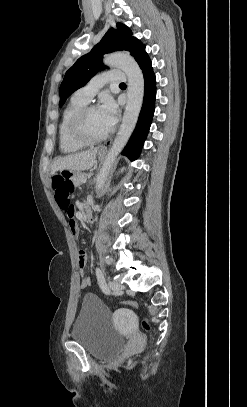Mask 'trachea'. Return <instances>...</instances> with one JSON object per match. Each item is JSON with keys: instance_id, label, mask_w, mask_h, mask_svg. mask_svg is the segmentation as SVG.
<instances>
[{"instance_id": "3493384b", "label": "trachea", "mask_w": 247, "mask_h": 407, "mask_svg": "<svg viewBox=\"0 0 247 407\" xmlns=\"http://www.w3.org/2000/svg\"><path fill=\"white\" fill-rule=\"evenodd\" d=\"M120 85H126L125 83H121Z\"/></svg>"}]
</instances>
